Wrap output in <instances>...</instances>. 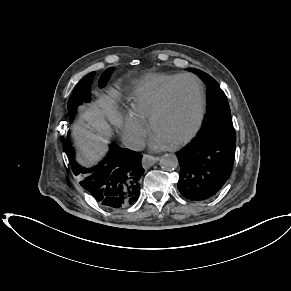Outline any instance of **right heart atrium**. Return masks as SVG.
Here are the masks:
<instances>
[{
	"label": "right heart atrium",
	"instance_id": "1",
	"mask_svg": "<svg viewBox=\"0 0 291 291\" xmlns=\"http://www.w3.org/2000/svg\"><path fill=\"white\" fill-rule=\"evenodd\" d=\"M148 132L146 124L128 113L123 118L122 135L131 145L137 147L141 144Z\"/></svg>",
	"mask_w": 291,
	"mask_h": 291
}]
</instances>
